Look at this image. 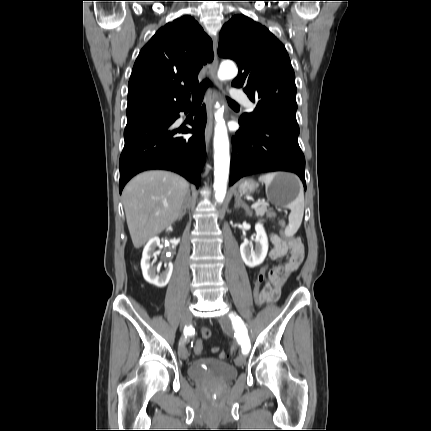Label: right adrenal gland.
<instances>
[{
    "mask_svg": "<svg viewBox=\"0 0 431 431\" xmlns=\"http://www.w3.org/2000/svg\"><path fill=\"white\" fill-rule=\"evenodd\" d=\"M188 200H190V191H188L187 192V195H186V198H185V200H184V203H183V205H182V208H181V213H180V216H179V220H181L182 219V217L185 215V213H186V209L188 208V204H187V201Z\"/></svg>",
    "mask_w": 431,
    "mask_h": 431,
    "instance_id": "1",
    "label": "right adrenal gland"
}]
</instances>
